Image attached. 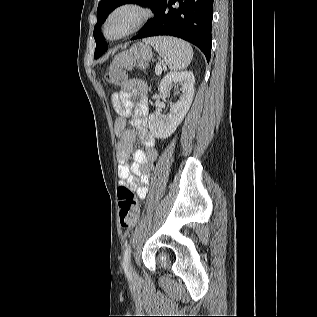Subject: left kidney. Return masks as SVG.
Listing matches in <instances>:
<instances>
[{
	"instance_id": "1",
	"label": "left kidney",
	"mask_w": 317,
	"mask_h": 317,
	"mask_svg": "<svg viewBox=\"0 0 317 317\" xmlns=\"http://www.w3.org/2000/svg\"><path fill=\"white\" fill-rule=\"evenodd\" d=\"M194 74L191 71L168 73L160 82L158 91L161 97L169 95L171 87H180L181 95L177 102L170 106V113L159 112L149 115V129L156 138L165 139L171 136L187 114L194 97Z\"/></svg>"
}]
</instances>
